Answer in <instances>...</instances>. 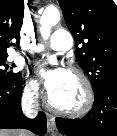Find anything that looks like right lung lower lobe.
<instances>
[{"label":"right lung lower lobe","mask_w":117,"mask_h":136,"mask_svg":"<svg viewBox=\"0 0 117 136\" xmlns=\"http://www.w3.org/2000/svg\"><path fill=\"white\" fill-rule=\"evenodd\" d=\"M22 79L0 84V129L24 128L40 136L46 132V115L39 112L35 119L26 118L21 110Z\"/></svg>","instance_id":"1"}]
</instances>
